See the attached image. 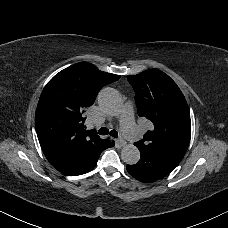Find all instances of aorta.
<instances>
[{"label": "aorta", "mask_w": 228, "mask_h": 228, "mask_svg": "<svg viewBox=\"0 0 228 228\" xmlns=\"http://www.w3.org/2000/svg\"><path fill=\"white\" fill-rule=\"evenodd\" d=\"M98 104L105 113L114 116L122 108V99L118 91L107 87L99 92ZM121 159L126 164L134 165L140 160V151L135 145L126 144L121 150Z\"/></svg>", "instance_id": "obj_1"}]
</instances>
